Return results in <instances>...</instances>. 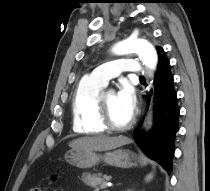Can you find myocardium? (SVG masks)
<instances>
[{"label":"myocardium","mask_w":210,"mask_h":191,"mask_svg":"<svg viewBox=\"0 0 210 191\" xmlns=\"http://www.w3.org/2000/svg\"><path fill=\"white\" fill-rule=\"evenodd\" d=\"M98 120L101 126L106 130V131H112V132H121V131H126L130 129L135 121V116L132 115L131 119L129 122L125 125L122 126H117L115 125L109 115L104 97H99L98 99Z\"/></svg>","instance_id":"myocardium-1"}]
</instances>
